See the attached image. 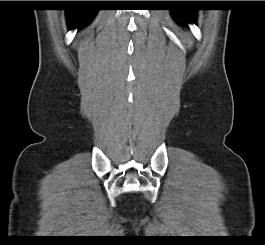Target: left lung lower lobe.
<instances>
[{
  "label": "left lung lower lobe",
  "mask_w": 265,
  "mask_h": 245,
  "mask_svg": "<svg viewBox=\"0 0 265 245\" xmlns=\"http://www.w3.org/2000/svg\"><path fill=\"white\" fill-rule=\"evenodd\" d=\"M196 10L183 9V10H173V17L180 18L181 22L186 24L188 21H193L195 19Z\"/></svg>",
  "instance_id": "0a47b994"
}]
</instances>
